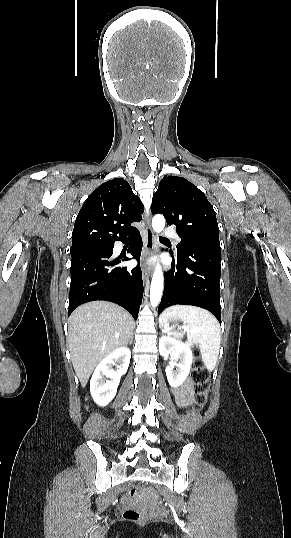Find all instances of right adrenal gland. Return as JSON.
Instances as JSON below:
<instances>
[{"label": "right adrenal gland", "instance_id": "right-adrenal-gland-1", "mask_svg": "<svg viewBox=\"0 0 291 538\" xmlns=\"http://www.w3.org/2000/svg\"><path fill=\"white\" fill-rule=\"evenodd\" d=\"M132 341H133V335L131 336L130 340H129V344L131 345L132 344Z\"/></svg>", "mask_w": 291, "mask_h": 538}]
</instances>
